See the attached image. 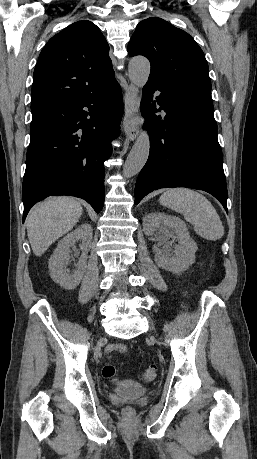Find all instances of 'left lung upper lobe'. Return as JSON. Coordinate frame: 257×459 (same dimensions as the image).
<instances>
[{
  "label": "left lung upper lobe",
  "instance_id": "left-lung-upper-lobe-1",
  "mask_svg": "<svg viewBox=\"0 0 257 459\" xmlns=\"http://www.w3.org/2000/svg\"><path fill=\"white\" fill-rule=\"evenodd\" d=\"M128 54L149 59L150 83L211 89L208 64L201 48L188 33L161 18L151 17L137 25Z\"/></svg>",
  "mask_w": 257,
  "mask_h": 459
}]
</instances>
